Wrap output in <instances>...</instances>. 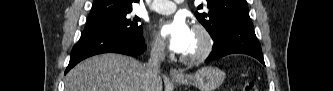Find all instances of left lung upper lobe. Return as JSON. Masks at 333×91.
Listing matches in <instances>:
<instances>
[{
	"label": "left lung upper lobe",
	"instance_id": "5c2ea615",
	"mask_svg": "<svg viewBox=\"0 0 333 91\" xmlns=\"http://www.w3.org/2000/svg\"><path fill=\"white\" fill-rule=\"evenodd\" d=\"M203 7L208 12H196L195 15L212 38L229 25L251 21L246 0H207V4L199 5L198 9Z\"/></svg>",
	"mask_w": 333,
	"mask_h": 91
}]
</instances>
